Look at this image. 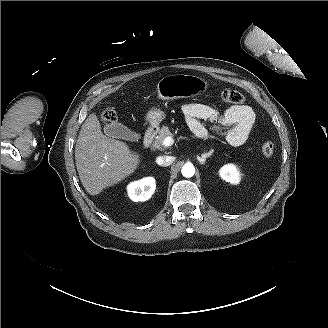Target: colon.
<instances>
[{
	"instance_id": "colon-1",
	"label": "colon",
	"mask_w": 328,
	"mask_h": 328,
	"mask_svg": "<svg viewBox=\"0 0 328 328\" xmlns=\"http://www.w3.org/2000/svg\"><path fill=\"white\" fill-rule=\"evenodd\" d=\"M221 100L226 104H240L243 102V95L236 90L224 89L220 94ZM116 119V113L113 109H107L102 113V120L105 123L113 122ZM261 152L264 157L269 158L274 153V144L271 141H265L261 146Z\"/></svg>"
}]
</instances>
